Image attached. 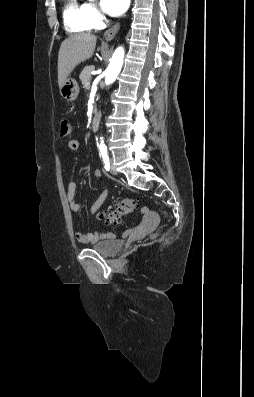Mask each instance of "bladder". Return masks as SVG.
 Listing matches in <instances>:
<instances>
[{"mask_svg": "<svg viewBox=\"0 0 254 397\" xmlns=\"http://www.w3.org/2000/svg\"><path fill=\"white\" fill-rule=\"evenodd\" d=\"M122 248V243L117 239H109L92 246V249L105 257H113L117 255Z\"/></svg>", "mask_w": 254, "mask_h": 397, "instance_id": "31cf9c89", "label": "bladder"}]
</instances>
